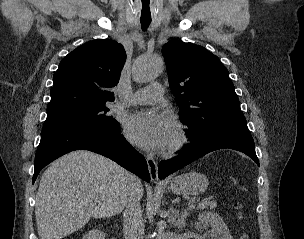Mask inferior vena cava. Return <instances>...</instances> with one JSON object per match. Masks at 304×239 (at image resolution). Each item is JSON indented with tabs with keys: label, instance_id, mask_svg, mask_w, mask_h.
<instances>
[{
	"label": "inferior vena cava",
	"instance_id": "obj_1",
	"mask_svg": "<svg viewBox=\"0 0 304 239\" xmlns=\"http://www.w3.org/2000/svg\"><path fill=\"white\" fill-rule=\"evenodd\" d=\"M140 181L128 174L121 205L124 209V234L126 239H143L144 221L137 186Z\"/></svg>",
	"mask_w": 304,
	"mask_h": 239
}]
</instances>
